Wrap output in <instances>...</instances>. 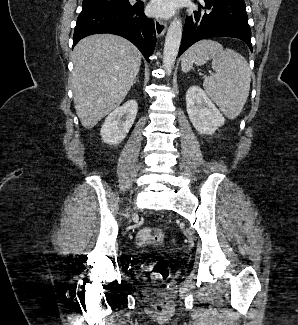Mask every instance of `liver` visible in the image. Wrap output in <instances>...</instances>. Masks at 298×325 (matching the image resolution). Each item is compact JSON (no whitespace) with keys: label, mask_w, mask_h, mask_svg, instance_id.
Wrapping results in <instances>:
<instances>
[{"label":"liver","mask_w":298,"mask_h":325,"mask_svg":"<svg viewBox=\"0 0 298 325\" xmlns=\"http://www.w3.org/2000/svg\"><path fill=\"white\" fill-rule=\"evenodd\" d=\"M141 56L132 42L116 34H91L74 46V108L84 128H93L123 102Z\"/></svg>","instance_id":"obj_1"}]
</instances>
